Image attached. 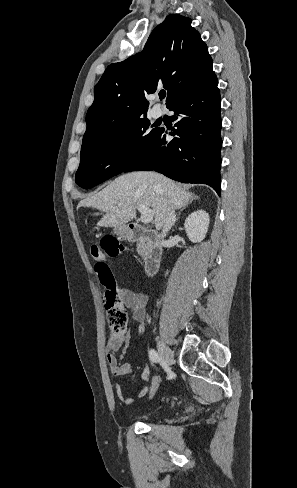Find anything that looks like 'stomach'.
<instances>
[{
  "instance_id": "0dacf381",
  "label": "stomach",
  "mask_w": 297,
  "mask_h": 488,
  "mask_svg": "<svg viewBox=\"0 0 297 488\" xmlns=\"http://www.w3.org/2000/svg\"><path fill=\"white\" fill-rule=\"evenodd\" d=\"M114 233L122 238H128L129 233L126 226H120L115 228Z\"/></svg>"
}]
</instances>
